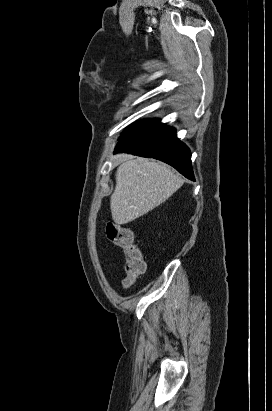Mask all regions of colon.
I'll return each mask as SVG.
<instances>
[{
  "mask_svg": "<svg viewBox=\"0 0 272 411\" xmlns=\"http://www.w3.org/2000/svg\"><path fill=\"white\" fill-rule=\"evenodd\" d=\"M106 234L113 244L125 252L123 285L131 287L146 269L144 254L135 242L134 232L129 227L110 222L106 226Z\"/></svg>",
  "mask_w": 272,
  "mask_h": 411,
  "instance_id": "colon-1",
  "label": "colon"
}]
</instances>
